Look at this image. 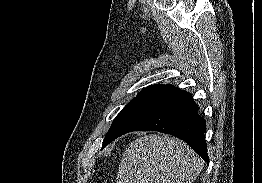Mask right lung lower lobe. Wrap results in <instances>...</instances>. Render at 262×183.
<instances>
[{
	"instance_id": "1",
	"label": "right lung lower lobe",
	"mask_w": 262,
	"mask_h": 183,
	"mask_svg": "<svg viewBox=\"0 0 262 183\" xmlns=\"http://www.w3.org/2000/svg\"><path fill=\"white\" fill-rule=\"evenodd\" d=\"M197 111L198 107L190 93L173 85H166L127 125L120 136L131 131L147 130L171 134L185 141L209 163L204 135L206 122Z\"/></svg>"
}]
</instances>
